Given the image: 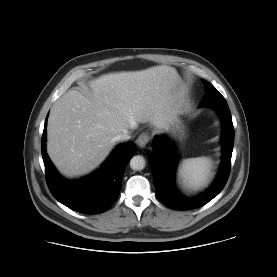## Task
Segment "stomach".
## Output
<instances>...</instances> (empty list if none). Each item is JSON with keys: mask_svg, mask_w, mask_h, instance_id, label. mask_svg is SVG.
Listing matches in <instances>:
<instances>
[{"mask_svg": "<svg viewBox=\"0 0 277 277\" xmlns=\"http://www.w3.org/2000/svg\"><path fill=\"white\" fill-rule=\"evenodd\" d=\"M170 131L173 133L176 139L182 140L184 138V126L177 118H173L170 123Z\"/></svg>", "mask_w": 277, "mask_h": 277, "instance_id": "stomach-1", "label": "stomach"}]
</instances>
